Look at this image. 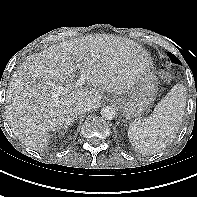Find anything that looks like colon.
Segmentation results:
<instances>
[{"label": "colon", "mask_w": 197, "mask_h": 197, "mask_svg": "<svg viewBox=\"0 0 197 197\" xmlns=\"http://www.w3.org/2000/svg\"><path fill=\"white\" fill-rule=\"evenodd\" d=\"M161 76H162L163 79H169L170 78V73L166 69H163L162 72H161Z\"/></svg>", "instance_id": "colon-1"}]
</instances>
